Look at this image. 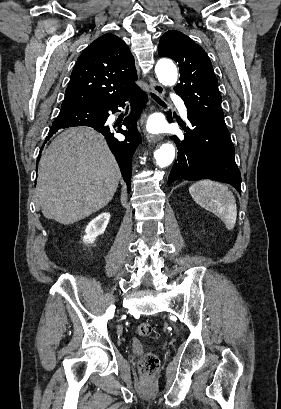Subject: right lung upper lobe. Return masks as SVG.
<instances>
[{
    "mask_svg": "<svg viewBox=\"0 0 281 409\" xmlns=\"http://www.w3.org/2000/svg\"><path fill=\"white\" fill-rule=\"evenodd\" d=\"M134 57L125 42L104 34L78 58L61 107L93 106L125 98L139 89Z\"/></svg>",
    "mask_w": 281,
    "mask_h": 409,
    "instance_id": "1",
    "label": "right lung upper lobe"
}]
</instances>
